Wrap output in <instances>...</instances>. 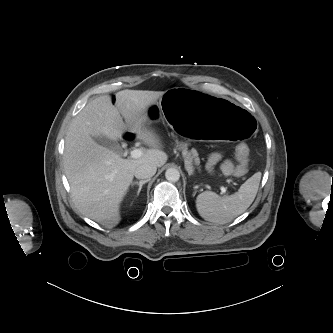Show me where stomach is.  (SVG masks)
Wrapping results in <instances>:
<instances>
[{
	"mask_svg": "<svg viewBox=\"0 0 333 333\" xmlns=\"http://www.w3.org/2000/svg\"><path fill=\"white\" fill-rule=\"evenodd\" d=\"M146 119L171 127L189 139L243 143L256 129L253 113L208 91L182 86L165 91L159 103L144 105ZM184 127V128H183Z\"/></svg>",
	"mask_w": 333,
	"mask_h": 333,
	"instance_id": "1",
	"label": "stomach"
}]
</instances>
